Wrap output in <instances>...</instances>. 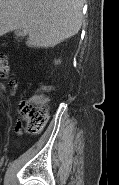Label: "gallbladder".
<instances>
[{"label": "gallbladder", "mask_w": 119, "mask_h": 185, "mask_svg": "<svg viewBox=\"0 0 119 185\" xmlns=\"http://www.w3.org/2000/svg\"><path fill=\"white\" fill-rule=\"evenodd\" d=\"M15 34L17 37L23 38L26 36V33L22 29H16Z\"/></svg>", "instance_id": "1"}]
</instances>
